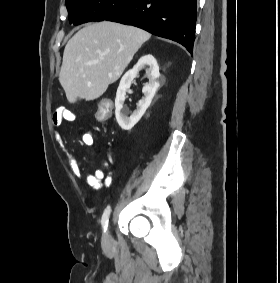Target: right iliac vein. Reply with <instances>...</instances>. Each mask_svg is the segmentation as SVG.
<instances>
[{"label": "right iliac vein", "instance_id": "obj_1", "mask_svg": "<svg viewBox=\"0 0 280 283\" xmlns=\"http://www.w3.org/2000/svg\"><path fill=\"white\" fill-rule=\"evenodd\" d=\"M112 237L111 235L109 234V231H107L104 236H103V247L105 249H109L112 245Z\"/></svg>", "mask_w": 280, "mask_h": 283}]
</instances>
